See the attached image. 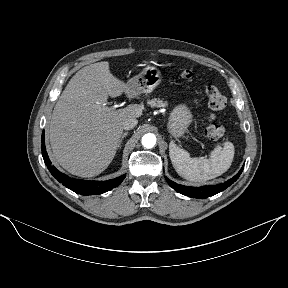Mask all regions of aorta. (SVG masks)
Returning a JSON list of instances; mask_svg holds the SVG:
<instances>
[{
	"instance_id": "aorta-1",
	"label": "aorta",
	"mask_w": 288,
	"mask_h": 288,
	"mask_svg": "<svg viewBox=\"0 0 288 288\" xmlns=\"http://www.w3.org/2000/svg\"><path fill=\"white\" fill-rule=\"evenodd\" d=\"M141 142L145 148H153L156 144V136L152 133H147L142 137Z\"/></svg>"
}]
</instances>
